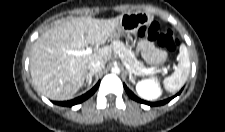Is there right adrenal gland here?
<instances>
[{
	"instance_id": "2a0ac1e0",
	"label": "right adrenal gland",
	"mask_w": 225,
	"mask_h": 132,
	"mask_svg": "<svg viewBox=\"0 0 225 132\" xmlns=\"http://www.w3.org/2000/svg\"><path fill=\"white\" fill-rule=\"evenodd\" d=\"M94 75V73H89L87 76H86V83L85 85H91L92 83V76Z\"/></svg>"
}]
</instances>
